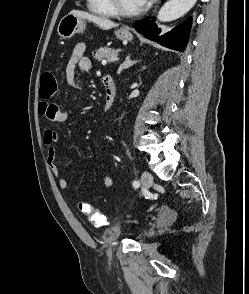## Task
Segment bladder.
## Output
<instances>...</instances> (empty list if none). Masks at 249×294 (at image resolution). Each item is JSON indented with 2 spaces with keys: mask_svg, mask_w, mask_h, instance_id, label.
Here are the masks:
<instances>
[{
  "mask_svg": "<svg viewBox=\"0 0 249 294\" xmlns=\"http://www.w3.org/2000/svg\"><path fill=\"white\" fill-rule=\"evenodd\" d=\"M148 234V229L147 226L145 225L142 228V236H147ZM121 235V231H116L114 227L108 229L107 231H105L102 235V239L105 242H113L116 241Z\"/></svg>",
  "mask_w": 249,
  "mask_h": 294,
  "instance_id": "obj_1",
  "label": "bladder"
}]
</instances>
